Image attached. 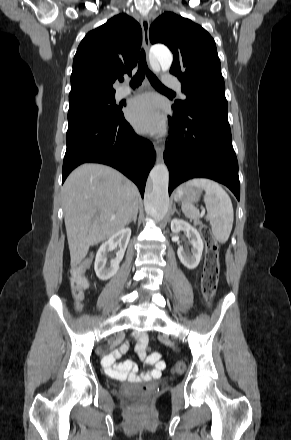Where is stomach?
I'll list each match as a JSON object with an SVG mask.
<instances>
[{"label": "stomach", "instance_id": "stomach-1", "mask_svg": "<svg viewBox=\"0 0 291 440\" xmlns=\"http://www.w3.org/2000/svg\"><path fill=\"white\" fill-rule=\"evenodd\" d=\"M200 195V189L194 188L192 186H182L177 190L174 198L176 201H182L192 204L199 200Z\"/></svg>", "mask_w": 291, "mask_h": 440}]
</instances>
